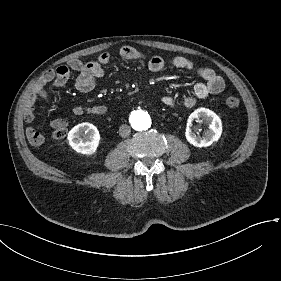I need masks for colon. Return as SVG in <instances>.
Masks as SVG:
<instances>
[{"mask_svg":"<svg viewBox=\"0 0 281 281\" xmlns=\"http://www.w3.org/2000/svg\"><path fill=\"white\" fill-rule=\"evenodd\" d=\"M227 106L237 107L239 105V99L233 96H229L225 99ZM66 135V125L64 123H57L55 131L53 133V138L60 139Z\"/></svg>","mask_w":281,"mask_h":281,"instance_id":"5ec220e1","label":"colon"}]
</instances>
